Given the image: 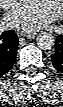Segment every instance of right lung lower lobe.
Instances as JSON below:
<instances>
[{
	"instance_id": "1",
	"label": "right lung lower lobe",
	"mask_w": 63,
	"mask_h": 107,
	"mask_svg": "<svg viewBox=\"0 0 63 107\" xmlns=\"http://www.w3.org/2000/svg\"><path fill=\"white\" fill-rule=\"evenodd\" d=\"M18 38L14 31L3 32L0 35V77L6 74L16 59Z\"/></svg>"
}]
</instances>
